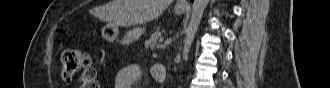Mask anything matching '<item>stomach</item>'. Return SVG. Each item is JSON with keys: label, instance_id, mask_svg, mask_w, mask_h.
I'll return each instance as SVG.
<instances>
[{"label": "stomach", "instance_id": "stomach-1", "mask_svg": "<svg viewBox=\"0 0 330 88\" xmlns=\"http://www.w3.org/2000/svg\"><path fill=\"white\" fill-rule=\"evenodd\" d=\"M186 11L185 8L176 6L174 9L175 14H183ZM145 32L144 28L137 27L128 31L122 40V44H130L135 40H138ZM118 27L117 25L107 24L102 29V36L107 41H113L117 38Z\"/></svg>", "mask_w": 330, "mask_h": 88}]
</instances>
